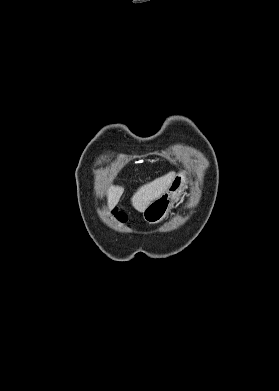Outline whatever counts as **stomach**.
<instances>
[{
  "label": "stomach",
  "instance_id": "0dacf381",
  "mask_svg": "<svg viewBox=\"0 0 279 391\" xmlns=\"http://www.w3.org/2000/svg\"><path fill=\"white\" fill-rule=\"evenodd\" d=\"M188 180L183 172L178 173L167 191L152 201L143 211V218L150 224L161 222L169 213L171 207L187 188Z\"/></svg>",
  "mask_w": 279,
  "mask_h": 391
}]
</instances>
